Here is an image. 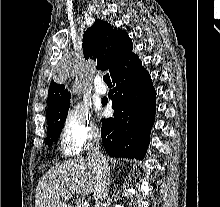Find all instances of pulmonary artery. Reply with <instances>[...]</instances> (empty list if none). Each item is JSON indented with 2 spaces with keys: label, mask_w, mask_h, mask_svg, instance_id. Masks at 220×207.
Wrapping results in <instances>:
<instances>
[{
  "label": "pulmonary artery",
  "mask_w": 220,
  "mask_h": 207,
  "mask_svg": "<svg viewBox=\"0 0 220 207\" xmlns=\"http://www.w3.org/2000/svg\"><path fill=\"white\" fill-rule=\"evenodd\" d=\"M94 89L99 95H104L107 92L106 86L100 80L96 82Z\"/></svg>",
  "instance_id": "e3ab8cb5"
}]
</instances>
